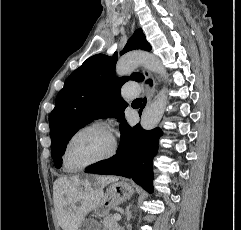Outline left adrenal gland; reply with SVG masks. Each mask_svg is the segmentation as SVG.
<instances>
[{
  "label": "left adrenal gland",
  "mask_w": 241,
  "mask_h": 230,
  "mask_svg": "<svg viewBox=\"0 0 241 230\" xmlns=\"http://www.w3.org/2000/svg\"><path fill=\"white\" fill-rule=\"evenodd\" d=\"M130 207H131V205H128L125 210V215H126L127 221H129L130 218L132 217V212L130 211Z\"/></svg>",
  "instance_id": "obj_1"
}]
</instances>
